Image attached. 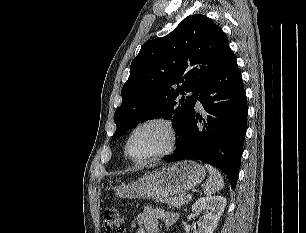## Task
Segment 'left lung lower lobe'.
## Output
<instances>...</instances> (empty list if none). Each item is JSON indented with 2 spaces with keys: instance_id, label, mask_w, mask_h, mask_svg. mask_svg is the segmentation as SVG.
Wrapping results in <instances>:
<instances>
[{
  "instance_id": "1",
  "label": "left lung lower lobe",
  "mask_w": 306,
  "mask_h": 233,
  "mask_svg": "<svg viewBox=\"0 0 306 233\" xmlns=\"http://www.w3.org/2000/svg\"><path fill=\"white\" fill-rule=\"evenodd\" d=\"M197 99L209 114L204 120L205 126L197 127L199 117L193 111L179 132L177 149L163 160L195 158L212 164L227 174L235 189L247 129V101L231 50Z\"/></svg>"
}]
</instances>
